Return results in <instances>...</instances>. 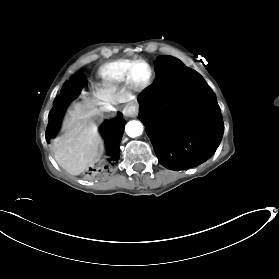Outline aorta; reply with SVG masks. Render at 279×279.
<instances>
[{"label": "aorta", "mask_w": 279, "mask_h": 279, "mask_svg": "<svg viewBox=\"0 0 279 279\" xmlns=\"http://www.w3.org/2000/svg\"><path fill=\"white\" fill-rule=\"evenodd\" d=\"M125 131L129 137H137L142 134L143 126L139 121H129L126 124Z\"/></svg>", "instance_id": "1"}]
</instances>
